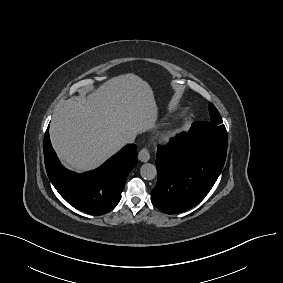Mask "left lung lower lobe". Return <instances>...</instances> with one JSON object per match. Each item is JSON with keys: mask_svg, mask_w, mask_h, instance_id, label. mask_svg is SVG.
Masks as SVG:
<instances>
[{"mask_svg": "<svg viewBox=\"0 0 283 283\" xmlns=\"http://www.w3.org/2000/svg\"><path fill=\"white\" fill-rule=\"evenodd\" d=\"M227 144L226 128L196 122L163 149L158 147L153 205L164 213L177 214L199 204L222 171Z\"/></svg>", "mask_w": 283, "mask_h": 283, "instance_id": "1", "label": "left lung lower lobe"}]
</instances>
